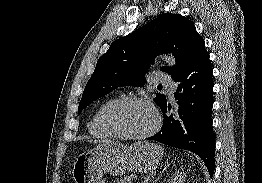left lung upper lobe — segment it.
Listing matches in <instances>:
<instances>
[{"instance_id": "obj_1", "label": "left lung upper lobe", "mask_w": 262, "mask_h": 183, "mask_svg": "<svg viewBox=\"0 0 262 183\" xmlns=\"http://www.w3.org/2000/svg\"><path fill=\"white\" fill-rule=\"evenodd\" d=\"M205 47L192 21L180 14H162L133 33L114 41L99 58L89 79L78 113L96 99L121 86H143L145 73L154 57L172 53L176 66L161 70L173 77L200 50ZM154 101L161 106L166 97L156 94Z\"/></svg>"}]
</instances>
